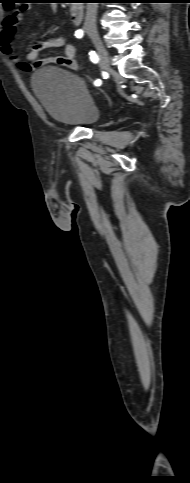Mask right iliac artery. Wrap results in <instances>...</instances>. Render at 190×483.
I'll return each mask as SVG.
<instances>
[{"mask_svg":"<svg viewBox=\"0 0 190 483\" xmlns=\"http://www.w3.org/2000/svg\"><path fill=\"white\" fill-rule=\"evenodd\" d=\"M75 36L77 38H81L83 36V31L81 29L77 30L75 32ZM89 55H90V60L93 63H98L99 58H98L97 54L95 53V51H90L89 52ZM94 85L95 86H100L101 85V80L100 79L95 80Z\"/></svg>","mask_w":190,"mask_h":483,"instance_id":"1","label":"right iliac artery"}]
</instances>
